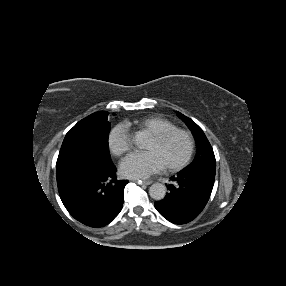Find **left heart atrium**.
Returning <instances> with one entry per match:
<instances>
[{"mask_svg": "<svg viewBox=\"0 0 286 286\" xmlns=\"http://www.w3.org/2000/svg\"><path fill=\"white\" fill-rule=\"evenodd\" d=\"M162 169L163 166L151 151L132 153L121 163L123 174L130 178H144Z\"/></svg>", "mask_w": 286, "mask_h": 286, "instance_id": "39dd6f15", "label": "left heart atrium"}]
</instances>
